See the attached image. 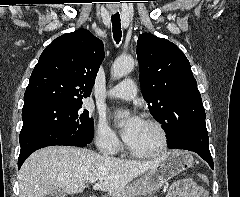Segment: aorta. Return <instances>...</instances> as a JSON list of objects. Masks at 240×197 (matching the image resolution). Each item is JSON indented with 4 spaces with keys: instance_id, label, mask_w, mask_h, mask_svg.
I'll list each match as a JSON object with an SVG mask.
<instances>
[{
    "instance_id": "762f6f07",
    "label": "aorta",
    "mask_w": 240,
    "mask_h": 197,
    "mask_svg": "<svg viewBox=\"0 0 240 197\" xmlns=\"http://www.w3.org/2000/svg\"><path fill=\"white\" fill-rule=\"evenodd\" d=\"M134 67V60L130 56L125 57H119L117 58L113 65L111 70V75L113 79H120L124 76H126L128 73L132 71ZM123 123H120V126Z\"/></svg>"
}]
</instances>
